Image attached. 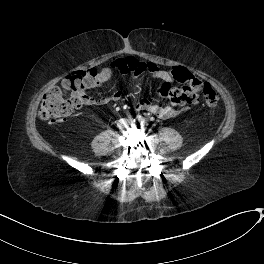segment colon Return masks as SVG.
<instances>
[{"label":"colon","mask_w":264,"mask_h":264,"mask_svg":"<svg viewBox=\"0 0 264 264\" xmlns=\"http://www.w3.org/2000/svg\"><path fill=\"white\" fill-rule=\"evenodd\" d=\"M116 68L115 66L110 68L104 66L99 69L92 68L68 74L62 79L60 85L50 88L44 94L38 110L40 118L53 122L79 110L84 103L86 91L84 81L88 78L94 79L106 75ZM171 74L180 85H164L160 90L162 97L177 105L193 103L197 98L199 82L179 66L174 67ZM200 88L206 104L215 106L219 100L216 90L209 84H203Z\"/></svg>","instance_id":"colon-1"}]
</instances>
